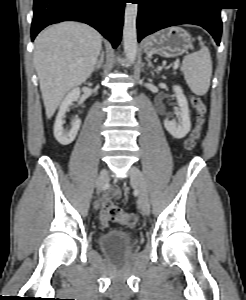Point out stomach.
Segmentation results:
<instances>
[{"mask_svg": "<svg viewBox=\"0 0 246 300\" xmlns=\"http://www.w3.org/2000/svg\"><path fill=\"white\" fill-rule=\"evenodd\" d=\"M192 45L191 35L183 28L174 26L148 37L144 44L147 55L158 54L175 57L186 53Z\"/></svg>", "mask_w": 246, "mask_h": 300, "instance_id": "0dacf381", "label": "stomach"}]
</instances>
